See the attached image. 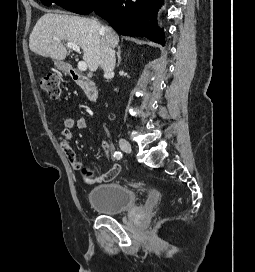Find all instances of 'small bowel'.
Wrapping results in <instances>:
<instances>
[{"mask_svg":"<svg viewBox=\"0 0 255 272\" xmlns=\"http://www.w3.org/2000/svg\"><path fill=\"white\" fill-rule=\"evenodd\" d=\"M63 125L64 128L60 132L58 137L60 147L66 155L71 166L74 169H79L82 166V161L80 160L76 152L70 147L69 141L71 140L76 131H81L86 128L87 119L85 116H80L76 120L70 117H66L63 119ZM102 148L105 154H108L110 152V144L106 140L102 141ZM120 169V165L118 163H114L107 173L98 176H84L83 181L88 185L109 182L117 177Z\"/></svg>","mask_w":255,"mask_h":272,"instance_id":"obj_1","label":"small bowel"}]
</instances>
